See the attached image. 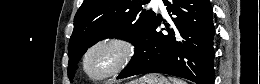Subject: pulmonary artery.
Listing matches in <instances>:
<instances>
[{"instance_id": "1", "label": "pulmonary artery", "mask_w": 260, "mask_h": 84, "mask_svg": "<svg viewBox=\"0 0 260 84\" xmlns=\"http://www.w3.org/2000/svg\"><path fill=\"white\" fill-rule=\"evenodd\" d=\"M151 4L154 6H162V0H151Z\"/></svg>"}]
</instances>
